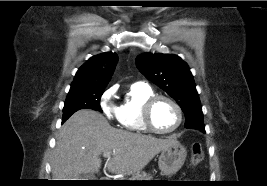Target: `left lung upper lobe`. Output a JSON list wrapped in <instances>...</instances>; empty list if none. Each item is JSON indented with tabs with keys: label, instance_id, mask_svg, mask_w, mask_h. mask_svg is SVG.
Listing matches in <instances>:
<instances>
[{
	"label": "left lung upper lobe",
	"instance_id": "obj_1",
	"mask_svg": "<svg viewBox=\"0 0 267 186\" xmlns=\"http://www.w3.org/2000/svg\"><path fill=\"white\" fill-rule=\"evenodd\" d=\"M139 70L167 92L185 114V127L205 132L202 106L188 65L174 54L142 53L137 56Z\"/></svg>",
	"mask_w": 267,
	"mask_h": 186
}]
</instances>
